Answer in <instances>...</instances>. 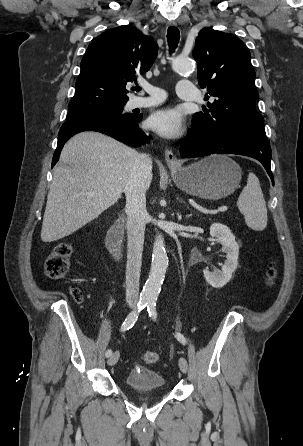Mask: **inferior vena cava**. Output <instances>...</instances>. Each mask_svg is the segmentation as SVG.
<instances>
[{"label":"inferior vena cava","mask_w":303,"mask_h":446,"mask_svg":"<svg viewBox=\"0 0 303 446\" xmlns=\"http://www.w3.org/2000/svg\"><path fill=\"white\" fill-rule=\"evenodd\" d=\"M152 170V160L138 154L132 165L125 187L127 215L126 300L136 302L139 297V280L142 263L146 211V190Z\"/></svg>","instance_id":"1"}]
</instances>
